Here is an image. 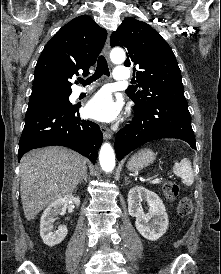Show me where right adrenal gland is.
<instances>
[{
    "label": "right adrenal gland",
    "instance_id": "1",
    "mask_svg": "<svg viewBox=\"0 0 221 274\" xmlns=\"http://www.w3.org/2000/svg\"><path fill=\"white\" fill-rule=\"evenodd\" d=\"M87 177H88V174H87V167H85L84 173H83L81 179L79 180V184H81L83 180H84L85 182H87Z\"/></svg>",
    "mask_w": 221,
    "mask_h": 274
}]
</instances>
